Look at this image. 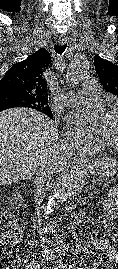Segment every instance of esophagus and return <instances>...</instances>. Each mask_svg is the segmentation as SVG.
<instances>
[{"mask_svg":"<svg viewBox=\"0 0 118 269\" xmlns=\"http://www.w3.org/2000/svg\"><path fill=\"white\" fill-rule=\"evenodd\" d=\"M68 41L67 37H59L58 39V43L63 45ZM86 160V156L82 153H77L75 154L74 158H73V162L74 163H80Z\"/></svg>","mask_w":118,"mask_h":269,"instance_id":"1","label":"esophagus"}]
</instances>
